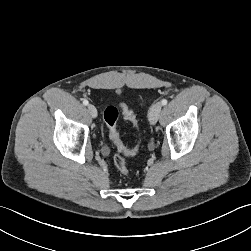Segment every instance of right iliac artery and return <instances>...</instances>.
<instances>
[{"instance_id":"1","label":"right iliac artery","mask_w":251,"mask_h":251,"mask_svg":"<svg viewBox=\"0 0 251 251\" xmlns=\"http://www.w3.org/2000/svg\"><path fill=\"white\" fill-rule=\"evenodd\" d=\"M83 104L85 105V106H87L88 104H89V102H88V100H83Z\"/></svg>"}]
</instances>
